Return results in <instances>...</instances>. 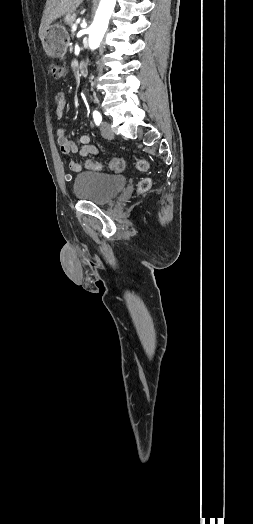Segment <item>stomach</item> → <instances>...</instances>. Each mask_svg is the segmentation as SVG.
I'll use <instances>...</instances> for the list:
<instances>
[{
    "mask_svg": "<svg viewBox=\"0 0 253 524\" xmlns=\"http://www.w3.org/2000/svg\"><path fill=\"white\" fill-rule=\"evenodd\" d=\"M70 37L66 28L60 23H55L47 29L42 45L49 57L63 58L67 52Z\"/></svg>",
    "mask_w": 253,
    "mask_h": 524,
    "instance_id": "stomach-1",
    "label": "stomach"
}]
</instances>
